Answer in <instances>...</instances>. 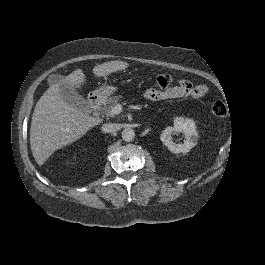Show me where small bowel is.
<instances>
[{"label": "small bowel", "mask_w": 265, "mask_h": 265, "mask_svg": "<svg viewBox=\"0 0 265 265\" xmlns=\"http://www.w3.org/2000/svg\"><path fill=\"white\" fill-rule=\"evenodd\" d=\"M209 89L206 85H193L187 80H180L176 86L166 90L148 89L145 92V98L149 101H163L176 98H201L208 93Z\"/></svg>", "instance_id": "obj_1"}]
</instances>
